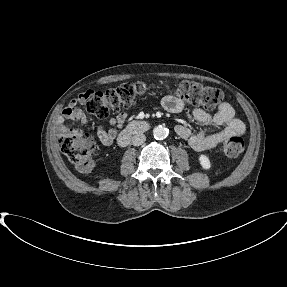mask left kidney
Instances as JSON below:
<instances>
[{"mask_svg": "<svg viewBox=\"0 0 287 287\" xmlns=\"http://www.w3.org/2000/svg\"><path fill=\"white\" fill-rule=\"evenodd\" d=\"M199 162H200V164H201L203 169H206V170L210 169L211 163H210V160H209L208 156H206L204 154H201L199 156Z\"/></svg>", "mask_w": 287, "mask_h": 287, "instance_id": "5707ae66", "label": "left kidney"}]
</instances>
